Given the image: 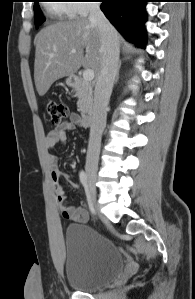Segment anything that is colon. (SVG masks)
Here are the masks:
<instances>
[{"label": "colon", "mask_w": 195, "mask_h": 299, "mask_svg": "<svg viewBox=\"0 0 195 299\" xmlns=\"http://www.w3.org/2000/svg\"><path fill=\"white\" fill-rule=\"evenodd\" d=\"M47 112L53 124H60L69 115V108L64 102L49 101Z\"/></svg>", "instance_id": "1"}]
</instances>
